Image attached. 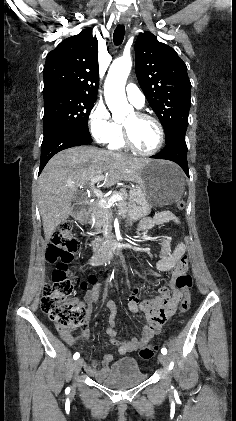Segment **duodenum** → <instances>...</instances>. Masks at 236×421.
<instances>
[{
  "instance_id": "duodenum-1",
  "label": "duodenum",
  "mask_w": 236,
  "mask_h": 421,
  "mask_svg": "<svg viewBox=\"0 0 236 421\" xmlns=\"http://www.w3.org/2000/svg\"><path fill=\"white\" fill-rule=\"evenodd\" d=\"M89 200H82L78 203H76L74 205L73 208V216L74 218L80 222V223H85L87 221L88 218V209H89ZM117 248V241L114 237H109L107 239V241L104 243V245L99 248L95 254L92 256V258L90 259V263L92 265H100L102 263H104L105 261H107L108 259H110L114 253V251ZM169 259V258H166ZM161 295L159 298H157L154 302V305L156 306V312L154 314V316L158 317L161 316V312H163L165 315L169 316L172 314V310H173V305H174V301L175 298L169 296V294L166 292V290L162 289L161 290ZM147 312H149V308L146 309ZM150 325L148 327L145 328L144 332H145V337L152 335L154 333L157 332V327L155 324V320L153 319V316H150ZM159 321V319H158ZM110 331V335L111 336H116V331L113 329H109ZM112 342H114L116 345L121 344L120 347V351L121 352H125L127 350H130L134 347L135 345V340L132 342H128V343H120L117 340H113ZM111 356H108V358H110ZM90 373L95 376L96 378L100 379L102 376V371H96L94 369H89Z\"/></svg>"
}]
</instances>
